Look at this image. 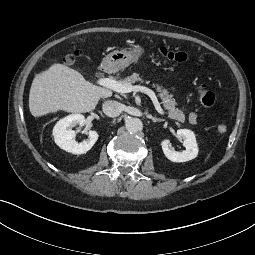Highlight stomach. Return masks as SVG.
<instances>
[{"label": "stomach", "instance_id": "stomach-1", "mask_svg": "<svg viewBox=\"0 0 255 255\" xmlns=\"http://www.w3.org/2000/svg\"><path fill=\"white\" fill-rule=\"evenodd\" d=\"M143 54L144 49L139 45L115 50L103 59V64L111 71H119L136 62Z\"/></svg>", "mask_w": 255, "mask_h": 255}]
</instances>
